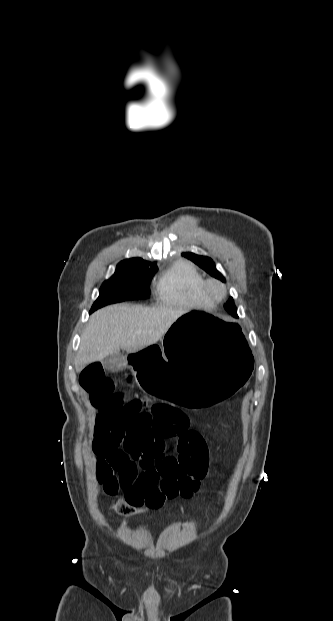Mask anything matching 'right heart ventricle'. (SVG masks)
Segmentation results:
<instances>
[{"label": "right heart ventricle", "instance_id": "1", "mask_svg": "<svg viewBox=\"0 0 333 621\" xmlns=\"http://www.w3.org/2000/svg\"><path fill=\"white\" fill-rule=\"evenodd\" d=\"M205 281L195 266L179 260L159 277L156 295L161 302L169 305L212 308L213 303L204 291Z\"/></svg>", "mask_w": 333, "mask_h": 621}]
</instances>
